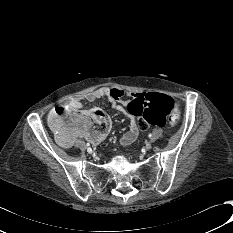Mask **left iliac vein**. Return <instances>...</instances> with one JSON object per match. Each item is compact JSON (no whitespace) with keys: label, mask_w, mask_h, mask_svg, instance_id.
<instances>
[{"label":"left iliac vein","mask_w":233,"mask_h":233,"mask_svg":"<svg viewBox=\"0 0 233 233\" xmlns=\"http://www.w3.org/2000/svg\"><path fill=\"white\" fill-rule=\"evenodd\" d=\"M152 148V144L151 143H146V145H145V149L146 150H150Z\"/></svg>","instance_id":"4c4485c4"}]
</instances>
